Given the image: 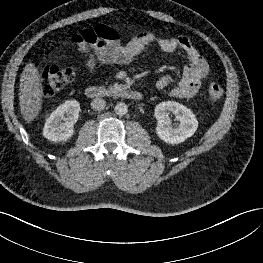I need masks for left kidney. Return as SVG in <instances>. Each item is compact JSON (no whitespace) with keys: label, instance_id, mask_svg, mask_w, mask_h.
I'll return each mask as SVG.
<instances>
[{"label":"left kidney","instance_id":"obj_1","mask_svg":"<svg viewBox=\"0 0 263 263\" xmlns=\"http://www.w3.org/2000/svg\"><path fill=\"white\" fill-rule=\"evenodd\" d=\"M169 112L175 114L180 122L177 127H172ZM154 116L158 121L156 133L162 141L168 144L184 142L198 128V121L193 112L178 102L167 101L158 104L155 107Z\"/></svg>","mask_w":263,"mask_h":263}]
</instances>
